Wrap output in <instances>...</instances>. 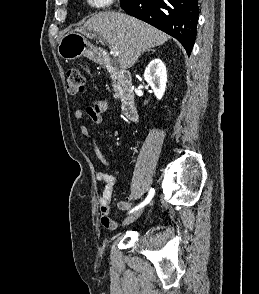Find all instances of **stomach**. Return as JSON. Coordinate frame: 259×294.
I'll return each instance as SVG.
<instances>
[{
    "label": "stomach",
    "mask_w": 259,
    "mask_h": 294,
    "mask_svg": "<svg viewBox=\"0 0 259 294\" xmlns=\"http://www.w3.org/2000/svg\"><path fill=\"white\" fill-rule=\"evenodd\" d=\"M60 57L73 60L81 56L94 58L93 48L87 39L78 31L73 30L66 33L58 45Z\"/></svg>",
    "instance_id": "1"
}]
</instances>
